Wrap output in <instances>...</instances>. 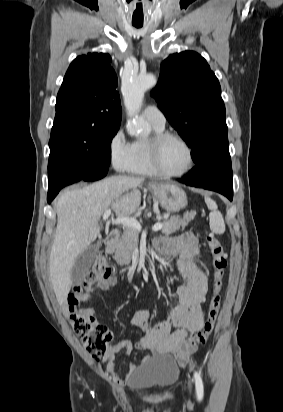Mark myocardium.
I'll use <instances>...</instances> for the list:
<instances>
[{"label":"myocardium","instance_id":"obj_1","mask_svg":"<svg viewBox=\"0 0 283 412\" xmlns=\"http://www.w3.org/2000/svg\"><path fill=\"white\" fill-rule=\"evenodd\" d=\"M169 139H176V140L180 141L186 147V149L188 151L189 162H188L187 167L184 170H182L181 172H177V173L166 172L161 167V164H160L161 149H162L164 143ZM150 158H151L152 166H153V168L156 172V175H159V176L165 177V178L183 177L193 169L194 164H195V154H194V149H193L192 145L182 135H180L176 132H170V131H163L161 133H158V134L154 135L151 138Z\"/></svg>","mask_w":283,"mask_h":412}]
</instances>
